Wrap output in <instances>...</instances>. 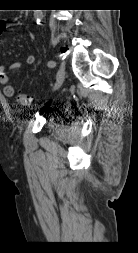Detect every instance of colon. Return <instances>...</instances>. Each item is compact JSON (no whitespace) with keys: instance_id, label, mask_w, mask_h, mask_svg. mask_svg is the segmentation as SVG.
Masks as SVG:
<instances>
[{"instance_id":"1","label":"colon","mask_w":138,"mask_h":253,"mask_svg":"<svg viewBox=\"0 0 138 253\" xmlns=\"http://www.w3.org/2000/svg\"><path fill=\"white\" fill-rule=\"evenodd\" d=\"M16 100L19 104L24 106H31L33 104V97L24 92H18L16 94Z\"/></svg>"}]
</instances>
